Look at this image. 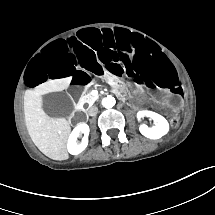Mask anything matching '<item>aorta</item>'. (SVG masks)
Segmentation results:
<instances>
[{
  "mask_svg": "<svg viewBox=\"0 0 215 215\" xmlns=\"http://www.w3.org/2000/svg\"><path fill=\"white\" fill-rule=\"evenodd\" d=\"M101 103H102V106L105 108H112L115 105L116 101L114 97L107 96L102 99Z\"/></svg>",
  "mask_w": 215,
  "mask_h": 215,
  "instance_id": "aorta-1",
  "label": "aorta"
}]
</instances>
